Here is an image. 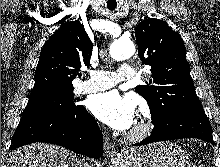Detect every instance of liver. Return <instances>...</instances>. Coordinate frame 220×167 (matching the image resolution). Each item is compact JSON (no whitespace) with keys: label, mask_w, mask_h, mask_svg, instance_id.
I'll return each mask as SVG.
<instances>
[{"label":"liver","mask_w":220,"mask_h":167,"mask_svg":"<svg viewBox=\"0 0 220 167\" xmlns=\"http://www.w3.org/2000/svg\"><path fill=\"white\" fill-rule=\"evenodd\" d=\"M76 156L52 144L33 143L13 151L7 167H77Z\"/></svg>","instance_id":"obj_1"}]
</instances>
